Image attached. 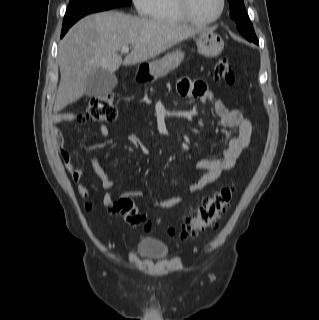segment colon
<instances>
[{"mask_svg": "<svg viewBox=\"0 0 319 320\" xmlns=\"http://www.w3.org/2000/svg\"><path fill=\"white\" fill-rule=\"evenodd\" d=\"M214 78L228 84L234 82V74L226 58H220L214 68ZM117 117V108L113 95L109 92L91 97L84 112L79 114L81 121L111 122ZM232 188L223 187L210 196L199 206L197 211L185 218L178 235L180 238L195 237L208 229H213L226 214L232 198ZM113 209L121 214L125 221L133 226L151 228V222L139 211L130 198H120L113 204Z\"/></svg>", "mask_w": 319, "mask_h": 320, "instance_id": "1", "label": "colon"}]
</instances>
